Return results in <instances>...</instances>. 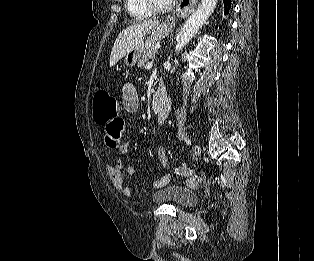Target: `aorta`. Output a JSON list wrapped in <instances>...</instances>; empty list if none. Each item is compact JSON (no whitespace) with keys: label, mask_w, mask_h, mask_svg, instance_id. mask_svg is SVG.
<instances>
[{"label":"aorta","mask_w":314,"mask_h":261,"mask_svg":"<svg viewBox=\"0 0 314 261\" xmlns=\"http://www.w3.org/2000/svg\"><path fill=\"white\" fill-rule=\"evenodd\" d=\"M217 0H202L198 9L186 20L177 36L175 52L180 50L194 37L213 12Z\"/></svg>","instance_id":"762f6f07"}]
</instances>
